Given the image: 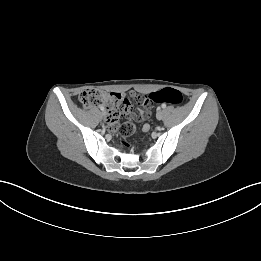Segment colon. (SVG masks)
Returning a JSON list of instances; mask_svg holds the SVG:
<instances>
[{"instance_id": "5ec220e1", "label": "colon", "mask_w": 261, "mask_h": 261, "mask_svg": "<svg viewBox=\"0 0 261 261\" xmlns=\"http://www.w3.org/2000/svg\"><path fill=\"white\" fill-rule=\"evenodd\" d=\"M149 99L152 102H167L172 105H180L183 102L181 92L173 88L151 93ZM81 104L90 108L99 104H105L108 108L107 122L121 144L126 145L127 138L134 132V125L131 122L120 123V118L131 110L130 102L119 93H107L96 88H87L79 95Z\"/></svg>"}]
</instances>
